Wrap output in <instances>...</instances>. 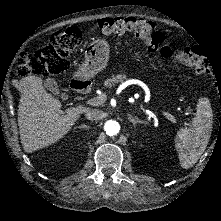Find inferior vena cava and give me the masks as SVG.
<instances>
[{
	"instance_id": "1",
	"label": "inferior vena cava",
	"mask_w": 221,
	"mask_h": 221,
	"mask_svg": "<svg viewBox=\"0 0 221 221\" xmlns=\"http://www.w3.org/2000/svg\"><path fill=\"white\" fill-rule=\"evenodd\" d=\"M105 116V113L99 109H89L85 112L86 119L90 121L102 120Z\"/></svg>"
}]
</instances>
